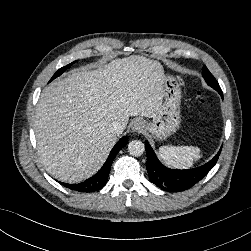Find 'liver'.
Returning a JSON list of instances; mask_svg holds the SVG:
<instances>
[{"label":"liver","instance_id":"6515ba94","mask_svg":"<svg viewBox=\"0 0 251 251\" xmlns=\"http://www.w3.org/2000/svg\"><path fill=\"white\" fill-rule=\"evenodd\" d=\"M162 65L143 56L112 60L97 70L75 69L46 87L34 131L44 168L56 179L78 183L94 175L117 141L113 122L154 118L163 104Z\"/></svg>","mask_w":251,"mask_h":251}]
</instances>
